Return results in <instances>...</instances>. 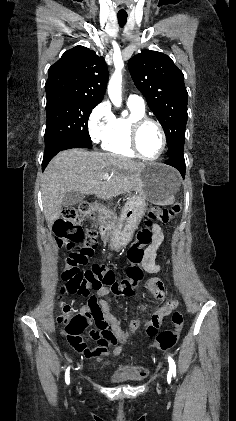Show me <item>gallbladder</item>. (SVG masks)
I'll return each instance as SVG.
<instances>
[{
  "label": "gallbladder",
  "mask_w": 236,
  "mask_h": 421,
  "mask_svg": "<svg viewBox=\"0 0 236 421\" xmlns=\"http://www.w3.org/2000/svg\"><path fill=\"white\" fill-rule=\"evenodd\" d=\"M83 198V192H79V190H69V192H66L61 204L62 206H69V204H78V202H81Z\"/></svg>",
  "instance_id": "obj_1"
}]
</instances>
